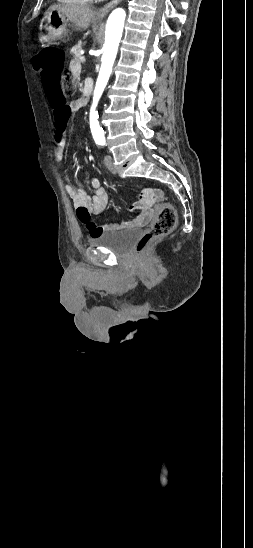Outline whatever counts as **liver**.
<instances>
[{
	"label": "liver",
	"mask_w": 253,
	"mask_h": 548,
	"mask_svg": "<svg viewBox=\"0 0 253 548\" xmlns=\"http://www.w3.org/2000/svg\"><path fill=\"white\" fill-rule=\"evenodd\" d=\"M49 10L57 11L82 30H86L90 26L95 15L91 7L82 4H58L50 6Z\"/></svg>",
	"instance_id": "obj_1"
}]
</instances>
